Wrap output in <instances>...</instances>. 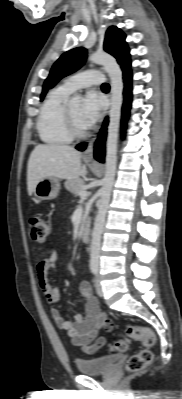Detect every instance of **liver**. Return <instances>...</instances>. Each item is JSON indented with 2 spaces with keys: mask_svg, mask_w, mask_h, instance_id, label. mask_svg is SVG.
I'll list each match as a JSON object with an SVG mask.
<instances>
[{
  "mask_svg": "<svg viewBox=\"0 0 182 399\" xmlns=\"http://www.w3.org/2000/svg\"><path fill=\"white\" fill-rule=\"evenodd\" d=\"M81 153L68 145H37L30 154L27 166V189L32 195L37 183L47 177L75 180L85 176Z\"/></svg>",
  "mask_w": 182,
  "mask_h": 399,
  "instance_id": "1",
  "label": "liver"
}]
</instances>
